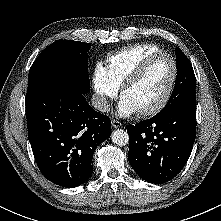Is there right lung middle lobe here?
Masks as SVG:
<instances>
[{"instance_id":"right-lung-middle-lobe-1","label":"right lung middle lobe","mask_w":221,"mask_h":221,"mask_svg":"<svg viewBox=\"0 0 221 221\" xmlns=\"http://www.w3.org/2000/svg\"><path fill=\"white\" fill-rule=\"evenodd\" d=\"M89 43L59 40L48 46L32 64L26 97L47 86H69L81 93L90 88L88 75Z\"/></svg>"}]
</instances>
